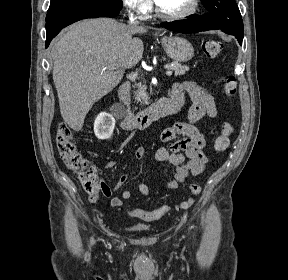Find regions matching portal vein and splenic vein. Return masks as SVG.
Instances as JSON below:
<instances>
[{
    "instance_id": "18ae733b",
    "label": "portal vein and splenic vein",
    "mask_w": 288,
    "mask_h": 280,
    "mask_svg": "<svg viewBox=\"0 0 288 280\" xmlns=\"http://www.w3.org/2000/svg\"><path fill=\"white\" fill-rule=\"evenodd\" d=\"M114 67L116 66L115 64L113 65ZM165 68L167 69L166 71V75L171 76L172 75V71L169 67L165 66Z\"/></svg>"
}]
</instances>
